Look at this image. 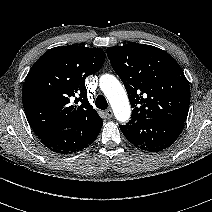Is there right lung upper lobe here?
Segmentation results:
<instances>
[{"label":"right lung upper lobe","instance_id":"1","mask_svg":"<svg viewBox=\"0 0 212 212\" xmlns=\"http://www.w3.org/2000/svg\"><path fill=\"white\" fill-rule=\"evenodd\" d=\"M105 61L101 48L55 47L31 67L22 92L27 120L40 137L73 127L94 129L103 122L87 99L85 78Z\"/></svg>","mask_w":212,"mask_h":212}]
</instances>
